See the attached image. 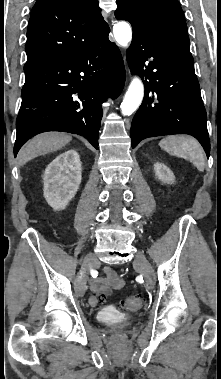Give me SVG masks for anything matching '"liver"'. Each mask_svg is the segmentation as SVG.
<instances>
[{
	"instance_id": "1",
	"label": "liver",
	"mask_w": 221,
	"mask_h": 379,
	"mask_svg": "<svg viewBox=\"0 0 221 379\" xmlns=\"http://www.w3.org/2000/svg\"><path fill=\"white\" fill-rule=\"evenodd\" d=\"M72 140L68 134L61 132H46L39 134L28 141L18 153V161L21 166L31 159L54 152L64 147Z\"/></svg>"
}]
</instances>
